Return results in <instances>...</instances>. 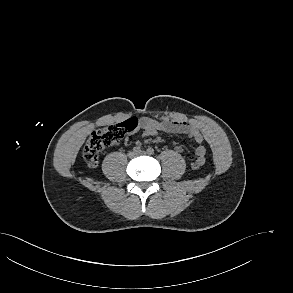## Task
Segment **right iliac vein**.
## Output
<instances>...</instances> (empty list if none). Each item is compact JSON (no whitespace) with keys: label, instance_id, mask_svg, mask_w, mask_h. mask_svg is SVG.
<instances>
[{"label":"right iliac vein","instance_id":"obj_1","mask_svg":"<svg viewBox=\"0 0 293 293\" xmlns=\"http://www.w3.org/2000/svg\"><path fill=\"white\" fill-rule=\"evenodd\" d=\"M136 155H137V153L134 151H131L128 153L129 158H134Z\"/></svg>","mask_w":293,"mask_h":293}]
</instances>
